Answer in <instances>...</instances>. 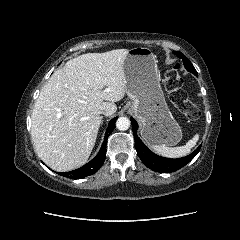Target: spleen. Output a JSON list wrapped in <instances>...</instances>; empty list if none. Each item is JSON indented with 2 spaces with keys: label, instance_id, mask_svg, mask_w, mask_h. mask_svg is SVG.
<instances>
[{
  "label": "spleen",
  "instance_id": "spleen-1",
  "mask_svg": "<svg viewBox=\"0 0 240 240\" xmlns=\"http://www.w3.org/2000/svg\"><path fill=\"white\" fill-rule=\"evenodd\" d=\"M199 140V135L196 134L189 140L186 145L180 147H168L166 145H152V149L159 155L169 158H178L190 153L191 149L196 145Z\"/></svg>",
  "mask_w": 240,
  "mask_h": 240
}]
</instances>
